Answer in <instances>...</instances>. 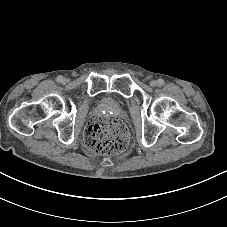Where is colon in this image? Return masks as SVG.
<instances>
[{
    "mask_svg": "<svg viewBox=\"0 0 227 227\" xmlns=\"http://www.w3.org/2000/svg\"><path fill=\"white\" fill-rule=\"evenodd\" d=\"M127 143L128 132L125 125L105 115L95 117L85 130V144L97 154L121 153Z\"/></svg>",
    "mask_w": 227,
    "mask_h": 227,
    "instance_id": "5ec220e1",
    "label": "colon"
}]
</instances>
